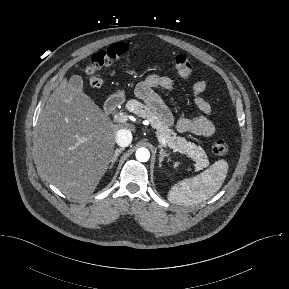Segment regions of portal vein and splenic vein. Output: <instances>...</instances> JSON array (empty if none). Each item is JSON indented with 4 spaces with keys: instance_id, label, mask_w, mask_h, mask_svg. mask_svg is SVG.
Returning a JSON list of instances; mask_svg holds the SVG:
<instances>
[{
    "instance_id": "portal-vein-and-splenic-vein-1",
    "label": "portal vein and splenic vein",
    "mask_w": 289,
    "mask_h": 289,
    "mask_svg": "<svg viewBox=\"0 0 289 289\" xmlns=\"http://www.w3.org/2000/svg\"><path fill=\"white\" fill-rule=\"evenodd\" d=\"M114 119L119 122V123H125L128 120V115L124 114V113H117L114 116ZM157 137H158V141L160 142L161 145L166 146V141L165 139L157 133Z\"/></svg>"
}]
</instances>
